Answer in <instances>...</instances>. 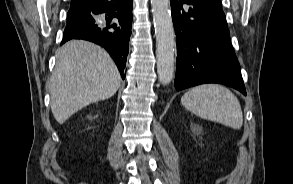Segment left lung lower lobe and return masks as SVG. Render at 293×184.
Wrapping results in <instances>:
<instances>
[{
  "instance_id": "0a47b994",
  "label": "left lung lower lobe",
  "mask_w": 293,
  "mask_h": 184,
  "mask_svg": "<svg viewBox=\"0 0 293 184\" xmlns=\"http://www.w3.org/2000/svg\"><path fill=\"white\" fill-rule=\"evenodd\" d=\"M177 43L175 88L220 83L246 95L221 0H170Z\"/></svg>"
}]
</instances>
